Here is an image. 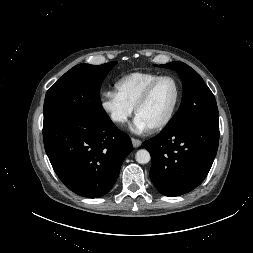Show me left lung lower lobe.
Returning <instances> with one entry per match:
<instances>
[{"mask_svg": "<svg viewBox=\"0 0 253 253\" xmlns=\"http://www.w3.org/2000/svg\"><path fill=\"white\" fill-rule=\"evenodd\" d=\"M219 125L199 123L160 132L144 142L150 152V178L166 196L183 195L206 178L217 153Z\"/></svg>", "mask_w": 253, "mask_h": 253, "instance_id": "1", "label": "left lung lower lobe"}]
</instances>
